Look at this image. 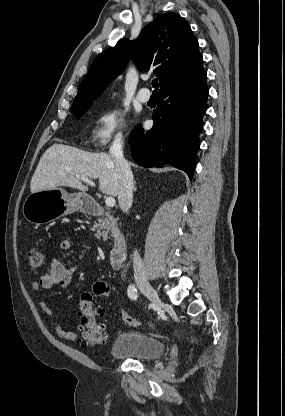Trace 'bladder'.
Returning a JSON list of instances; mask_svg holds the SVG:
<instances>
[{
	"label": "bladder",
	"mask_w": 285,
	"mask_h": 416,
	"mask_svg": "<svg viewBox=\"0 0 285 416\" xmlns=\"http://www.w3.org/2000/svg\"><path fill=\"white\" fill-rule=\"evenodd\" d=\"M163 353L164 343L160 338L132 330L118 333L110 349L111 356L141 361L160 358Z\"/></svg>",
	"instance_id": "bladder-1"
}]
</instances>
